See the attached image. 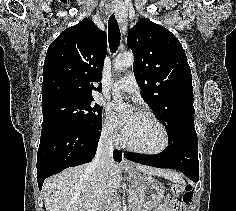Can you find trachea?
Wrapping results in <instances>:
<instances>
[{
    "label": "trachea",
    "instance_id": "1",
    "mask_svg": "<svg viewBox=\"0 0 236 211\" xmlns=\"http://www.w3.org/2000/svg\"><path fill=\"white\" fill-rule=\"evenodd\" d=\"M121 40V33L115 18V15L112 14L108 20V42L111 53H115L119 47Z\"/></svg>",
    "mask_w": 236,
    "mask_h": 211
}]
</instances>
